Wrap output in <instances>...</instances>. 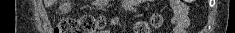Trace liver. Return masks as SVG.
<instances>
[{
  "label": "liver",
  "mask_w": 235,
  "mask_h": 33,
  "mask_svg": "<svg viewBox=\"0 0 235 33\" xmlns=\"http://www.w3.org/2000/svg\"><path fill=\"white\" fill-rule=\"evenodd\" d=\"M56 0H44V4L46 7L51 6L52 4H54Z\"/></svg>",
  "instance_id": "1"
}]
</instances>
